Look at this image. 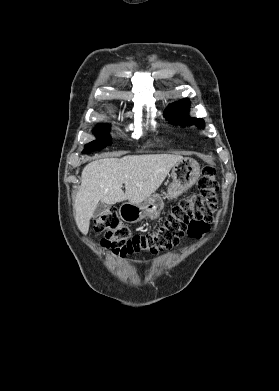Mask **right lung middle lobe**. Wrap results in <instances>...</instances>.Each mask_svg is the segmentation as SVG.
Listing matches in <instances>:
<instances>
[{
    "instance_id": "1",
    "label": "right lung middle lobe",
    "mask_w": 279,
    "mask_h": 391,
    "mask_svg": "<svg viewBox=\"0 0 279 391\" xmlns=\"http://www.w3.org/2000/svg\"><path fill=\"white\" fill-rule=\"evenodd\" d=\"M109 126L98 124L97 129L94 130L98 140L93 141L85 146L83 153L89 154L92 151H96L111 144V138L107 134Z\"/></svg>"
}]
</instances>
